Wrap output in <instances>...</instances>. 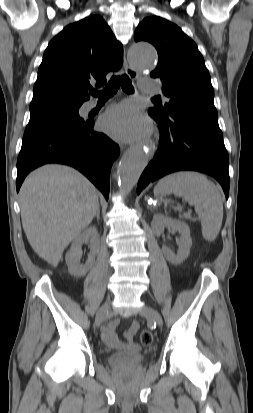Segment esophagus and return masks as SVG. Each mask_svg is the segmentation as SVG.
<instances>
[{
  "mask_svg": "<svg viewBox=\"0 0 253 413\" xmlns=\"http://www.w3.org/2000/svg\"><path fill=\"white\" fill-rule=\"evenodd\" d=\"M124 69H125L126 74H127L132 80H136V79L138 78V73H137V71H136L135 69H133V68L129 65V63H128V61H127L126 58H124ZM146 145H147V148H148V151H149V156H150V157L153 156L154 150H155L154 144H153L151 141H149V142H147Z\"/></svg>",
  "mask_w": 253,
  "mask_h": 413,
  "instance_id": "34e87169",
  "label": "esophagus"
}]
</instances>
